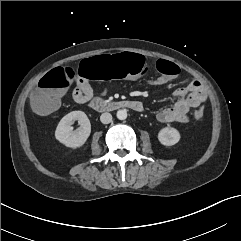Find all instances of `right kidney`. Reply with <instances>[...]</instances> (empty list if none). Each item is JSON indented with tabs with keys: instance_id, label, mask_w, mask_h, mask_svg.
<instances>
[{
	"instance_id": "obj_1",
	"label": "right kidney",
	"mask_w": 241,
	"mask_h": 241,
	"mask_svg": "<svg viewBox=\"0 0 241 241\" xmlns=\"http://www.w3.org/2000/svg\"><path fill=\"white\" fill-rule=\"evenodd\" d=\"M74 120H78L80 129L73 131L71 126ZM91 133V124L87 115L82 111H72L65 115L59 122L55 138L69 148H79L85 144Z\"/></svg>"
}]
</instances>
